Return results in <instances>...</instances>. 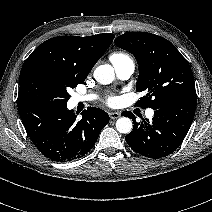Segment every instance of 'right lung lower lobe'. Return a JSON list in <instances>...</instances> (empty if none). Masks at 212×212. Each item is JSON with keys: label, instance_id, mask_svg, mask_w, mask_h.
I'll use <instances>...</instances> for the list:
<instances>
[{"label": "right lung lower lobe", "instance_id": "1", "mask_svg": "<svg viewBox=\"0 0 212 212\" xmlns=\"http://www.w3.org/2000/svg\"><path fill=\"white\" fill-rule=\"evenodd\" d=\"M66 104L18 101L20 118L31 141L45 157L57 162L86 155L109 122V115L94 107L84 110L78 121Z\"/></svg>", "mask_w": 212, "mask_h": 212}]
</instances>
